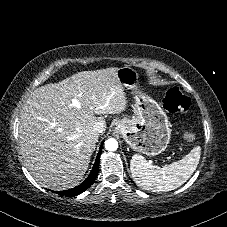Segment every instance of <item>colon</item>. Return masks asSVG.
<instances>
[{
  "instance_id": "1",
  "label": "colon",
  "mask_w": 227,
  "mask_h": 227,
  "mask_svg": "<svg viewBox=\"0 0 227 227\" xmlns=\"http://www.w3.org/2000/svg\"><path fill=\"white\" fill-rule=\"evenodd\" d=\"M164 106L170 113L187 111L190 101L178 88H171L165 94ZM183 138L187 141H192L194 139V133L187 130L184 132Z\"/></svg>"
}]
</instances>
